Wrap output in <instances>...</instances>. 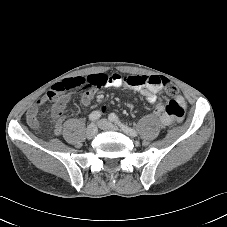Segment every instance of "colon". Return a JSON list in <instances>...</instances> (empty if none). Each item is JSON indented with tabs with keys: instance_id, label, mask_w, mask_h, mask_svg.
Listing matches in <instances>:
<instances>
[{
	"instance_id": "colon-1",
	"label": "colon",
	"mask_w": 227,
	"mask_h": 227,
	"mask_svg": "<svg viewBox=\"0 0 227 227\" xmlns=\"http://www.w3.org/2000/svg\"><path fill=\"white\" fill-rule=\"evenodd\" d=\"M63 81V80H62ZM143 83H148L152 85H162V87L169 93L175 94L176 87L170 83L166 78L152 76L149 79L143 81ZM52 122L56 124V120L52 118Z\"/></svg>"
}]
</instances>
